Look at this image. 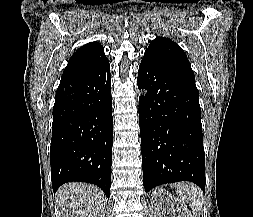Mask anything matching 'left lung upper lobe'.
Returning a JSON list of instances; mask_svg holds the SVG:
<instances>
[{
  "label": "left lung upper lobe",
  "instance_id": "obj_1",
  "mask_svg": "<svg viewBox=\"0 0 253 217\" xmlns=\"http://www.w3.org/2000/svg\"><path fill=\"white\" fill-rule=\"evenodd\" d=\"M144 55L155 59L180 76L195 82L194 72L186 54L174 41L165 37H157L150 43Z\"/></svg>",
  "mask_w": 253,
  "mask_h": 217
}]
</instances>
